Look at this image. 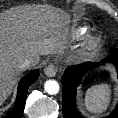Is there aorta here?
<instances>
[{"instance_id": "1", "label": "aorta", "mask_w": 118, "mask_h": 118, "mask_svg": "<svg viewBox=\"0 0 118 118\" xmlns=\"http://www.w3.org/2000/svg\"><path fill=\"white\" fill-rule=\"evenodd\" d=\"M44 89L49 95H56L59 92L60 86L56 80H48L44 84Z\"/></svg>"}]
</instances>
